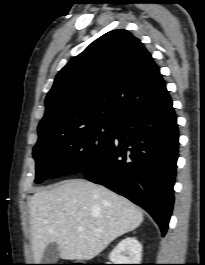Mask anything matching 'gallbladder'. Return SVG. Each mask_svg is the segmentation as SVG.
Returning a JSON list of instances; mask_svg holds the SVG:
<instances>
[{
    "mask_svg": "<svg viewBox=\"0 0 205 265\" xmlns=\"http://www.w3.org/2000/svg\"><path fill=\"white\" fill-rule=\"evenodd\" d=\"M60 256V250L56 243H49L42 257L43 264H54Z\"/></svg>",
    "mask_w": 205,
    "mask_h": 265,
    "instance_id": "bac80fb5",
    "label": "gallbladder"
}]
</instances>
